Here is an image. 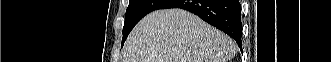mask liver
Listing matches in <instances>:
<instances>
[{
    "instance_id": "1",
    "label": "liver",
    "mask_w": 331,
    "mask_h": 62,
    "mask_svg": "<svg viewBox=\"0 0 331 62\" xmlns=\"http://www.w3.org/2000/svg\"><path fill=\"white\" fill-rule=\"evenodd\" d=\"M236 43L182 9L154 11L130 33L123 62H228Z\"/></svg>"
}]
</instances>
